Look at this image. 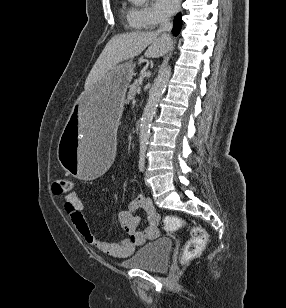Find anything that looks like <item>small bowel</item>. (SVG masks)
I'll return each instance as SVG.
<instances>
[{
  "label": "small bowel",
  "mask_w": 286,
  "mask_h": 308,
  "mask_svg": "<svg viewBox=\"0 0 286 308\" xmlns=\"http://www.w3.org/2000/svg\"><path fill=\"white\" fill-rule=\"evenodd\" d=\"M64 208L74 227L83 239L99 251L113 257H127L135 248L142 246L147 240H154L159 235L160 216L156 212L152 200L145 195L137 196L130 204L129 210L119 214V221L128 237L120 240H106L98 236L92 228L83 211L85 205L76 193H70L64 198ZM143 210L146 225L140 229V218L136 211Z\"/></svg>",
  "instance_id": "c3829d8e"
}]
</instances>
